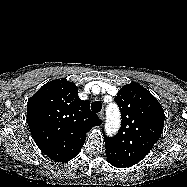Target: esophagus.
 Returning a JSON list of instances; mask_svg holds the SVG:
<instances>
[{
	"label": "esophagus",
	"mask_w": 187,
	"mask_h": 187,
	"mask_svg": "<svg viewBox=\"0 0 187 187\" xmlns=\"http://www.w3.org/2000/svg\"><path fill=\"white\" fill-rule=\"evenodd\" d=\"M98 117L101 119V120H104L105 119V113L102 111L98 114Z\"/></svg>",
	"instance_id": "1"
}]
</instances>
